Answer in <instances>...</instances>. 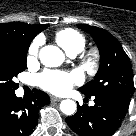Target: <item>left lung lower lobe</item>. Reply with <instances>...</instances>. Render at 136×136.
<instances>
[{
	"label": "left lung lower lobe",
	"mask_w": 136,
	"mask_h": 136,
	"mask_svg": "<svg viewBox=\"0 0 136 136\" xmlns=\"http://www.w3.org/2000/svg\"><path fill=\"white\" fill-rule=\"evenodd\" d=\"M94 102V106L78 107L74 116L67 117L68 126L80 136L112 135L126 115L130 97L95 96Z\"/></svg>",
	"instance_id": "obj_1"
}]
</instances>
